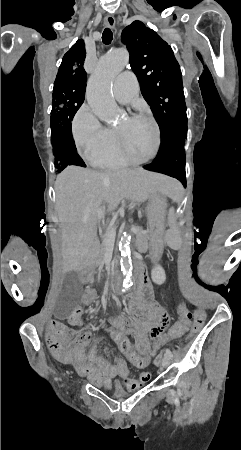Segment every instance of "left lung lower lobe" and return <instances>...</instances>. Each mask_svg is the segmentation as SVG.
I'll return each mask as SVG.
<instances>
[{"label": "left lung lower lobe", "mask_w": 241, "mask_h": 450, "mask_svg": "<svg viewBox=\"0 0 241 450\" xmlns=\"http://www.w3.org/2000/svg\"><path fill=\"white\" fill-rule=\"evenodd\" d=\"M186 135L187 119L176 122L161 136V145L155 160L144 168L177 178L186 186L184 154Z\"/></svg>", "instance_id": "obj_1"}]
</instances>
